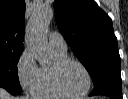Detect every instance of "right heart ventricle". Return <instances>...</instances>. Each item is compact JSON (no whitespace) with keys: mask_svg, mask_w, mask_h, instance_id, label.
Listing matches in <instances>:
<instances>
[{"mask_svg":"<svg viewBox=\"0 0 128 99\" xmlns=\"http://www.w3.org/2000/svg\"><path fill=\"white\" fill-rule=\"evenodd\" d=\"M54 56V64L67 58L66 53H58L52 51ZM51 66H42L39 70V79L33 90V95L41 99H61L64 98L55 88L52 77Z\"/></svg>","mask_w":128,"mask_h":99,"instance_id":"1","label":"right heart ventricle"}]
</instances>
